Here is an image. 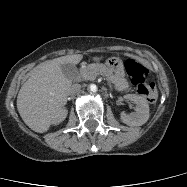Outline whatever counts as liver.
Instances as JSON below:
<instances>
[{"label": "liver", "instance_id": "6515ba94", "mask_svg": "<svg viewBox=\"0 0 187 187\" xmlns=\"http://www.w3.org/2000/svg\"><path fill=\"white\" fill-rule=\"evenodd\" d=\"M82 54L67 55L46 61L34 68L17 96V109L33 131H48L67 103L72 82L63 74L62 64L77 65ZM103 57H93L100 61Z\"/></svg>", "mask_w": 187, "mask_h": 187}]
</instances>
